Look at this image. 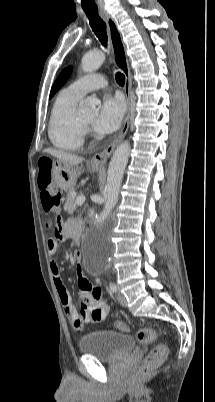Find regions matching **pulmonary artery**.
Returning a JSON list of instances; mask_svg holds the SVG:
<instances>
[{
	"label": "pulmonary artery",
	"mask_w": 215,
	"mask_h": 402,
	"mask_svg": "<svg viewBox=\"0 0 215 402\" xmlns=\"http://www.w3.org/2000/svg\"><path fill=\"white\" fill-rule=\"evenodd\" d=\"M106 85L107 80L102 74L93 73L77 79L68 86V89L82 97L89 91L103 88Z\"/></svg>",
	"instance_id": "1"
}]
</instances>
